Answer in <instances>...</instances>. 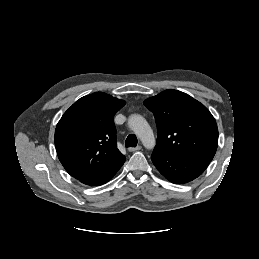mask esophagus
Returning a JSON list of instances; mask_svg holds the SVG:
<instances>
[{"label":"esophagus","mask_w":259,"mask_h":259,"mask_svg":"<svg viewBox=\"0 0 259 259\" xmlns=\"http://www.w3.org/2000/svg\"><path fill=\"white\" fill-rule=\"evenodd\" d=\"M142 149V147L139 145V146H137V147H130L128 150L130 151V152H135V151H139V150H141Z\"/></svg>","instance_id":"esophagus-1"}]
</instances>
